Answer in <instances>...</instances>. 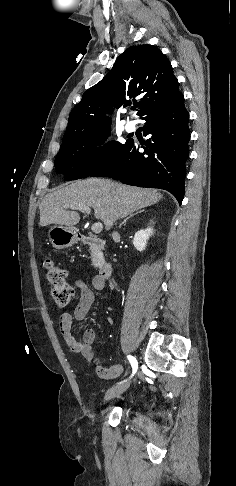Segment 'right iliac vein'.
<instances>
[{"label":"right iliac vein","mask_w":236,"mask_h":486,"mask_svg":"<svg viewBox=\"0 0 236 486\" xmlns=\"http://www.w3.org/2000/svg\"><path fill=\"white\" fill-rule=\"evenodd\" d=\"M129 387V382L110 388L104 396V401H109L123 394Z\"/></svg>","instance_id":"right-iliac-vein-1"}]
</instances>
